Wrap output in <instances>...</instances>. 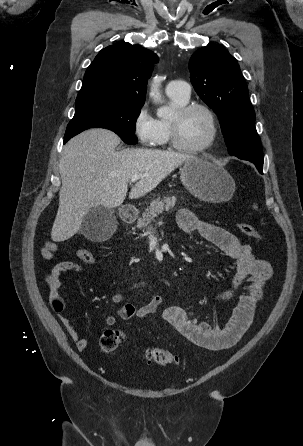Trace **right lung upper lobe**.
I'll list each match as a JSON object with an SVG mask.
<instances>
[{
  "label": "right lung upper lobe",
  "instance_id": "obj_1",
  "mask_svg": "<svg viewBox=\"0 0 303 446\" xmlns=\"http://www.w3.org/2000/svg\"><path fill=\"white\" fill-rule=\"evenodd\" d=\"M158 60L151 50L129 43L102 49L85 72L75 106L95 103L143 106L147 79Z\"/></svg>",
  "mask_w": 303,
  "mask_h": 446
}]
</instances>
